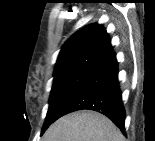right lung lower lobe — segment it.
<instances>
[{"label":"right lung lower lobe","mask_w":155,"mask_h":141,"mask_svg":"<svg viewBox=\"0 0 155 141\" xmlns=\"http://www.w3.org/2000/svg\"><path fill=\"white\" fill-rule=\"evenodd\" d=\"M98 111L125 134V110L118 82V63L112 53L62 107L60 117L78 110Z\"/></svg>","instance_id":"right-lung-lower-lobe-1"}]
</instances>
